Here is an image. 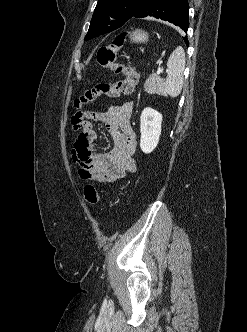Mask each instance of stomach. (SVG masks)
Returning <instances> with one entry per match:
<instances>
[{
  "label": "stomach",
  "instance_id": "0dacf381",
  "mask_svg": "<svg viewBox=\"0 0 247 332\" xmlns=\"http://www.w3.org/2000/svg\"><path fill=\"white\" fill-rule=\"evenodd\" d=\"M131 41L135 43H144L148 41V34L142 30H135L130 34Z\"/></svg>",
  "mask_w": 247,
  "mask_h": 332
}]
</instances>
